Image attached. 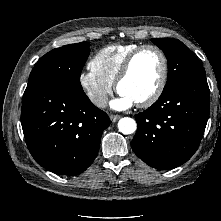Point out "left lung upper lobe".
I'll return each mask as SVG.
<instances>
[{"label": "left lung upper lobe", "instance_id": "obj_1", "mask_svg": "<svg viewBox=\"0 0 221 221\" xmlns=\"http://www.w3.org/2000/svg\"><path fill=\"white\" fill-rule=\"evenodd\" d=\"M152 42L163 50L168 60V78L163 91L171 89L186 78L205 75L202 64L181 41L153 38Z\"/></svg>", "mask_w": 221, "mask_h": 221}]
</instances>
